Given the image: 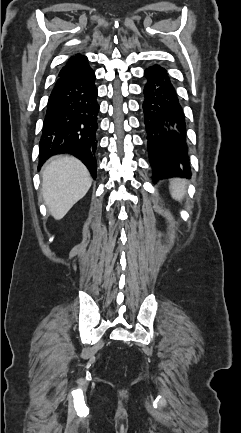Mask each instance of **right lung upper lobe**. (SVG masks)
Masks as SVG:
<instances>
[{
    "mask_svg": "<svg viewBox=\"0 0 241 433\" xmlns=\"http://www.w3.org/2000/svg\"><path fill=\"white\" fill-rule=\"evenodd\" d=\"M84 62H87V57L80 54H76L75 56L71 57L68 60L67 64L60 71L59 76L66 74L67 72H69L70 70H72L73 68L77 67L78 65Z\"/></svg>",
    "mask_w": 241,
    "mask_h": 433,
    "instance_id": "1",
    "label": "right lung upper lobe"
}]
</instances>
